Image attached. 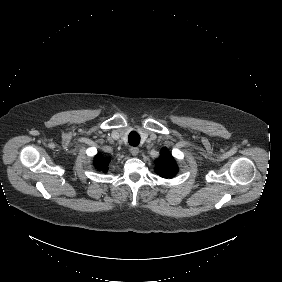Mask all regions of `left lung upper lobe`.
<instances>
[{
    "label": "left lung upper lobe",
    "instance_id": "obj_1",
    "mask_svg": "<svg viewBox=\"0 0 282 282\" xmlns=\"http://www.w3.org/2000/svg\"><path fill=\"white\" fill-rule=\"evenodd\" d=\"M155 164V172L163 178H173L178 172V166L167 148L161 150Z\"/></svg>",
    "mask_w": 282,
    "mask_h": 282
}]
</instances>
